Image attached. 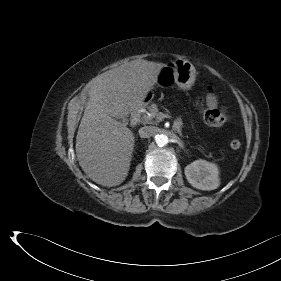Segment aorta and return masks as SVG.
Returning <instances> with one entry per match:
<instances>
[{"instance_id":"aorta-1","label":"aorta","mask_w":281,"mask_h":281,"mask_svg":"<svg viewBox=\"0 0 281 281\" xmlns=\"http://www.w3.org/2000/svg\"><path fill=\"white\" fill-rule=\"evenodd\" d=\"M155 142L159 147H163L169 142V138L165 134H158L155 136Z\"/></svg>"}]
</instances>
